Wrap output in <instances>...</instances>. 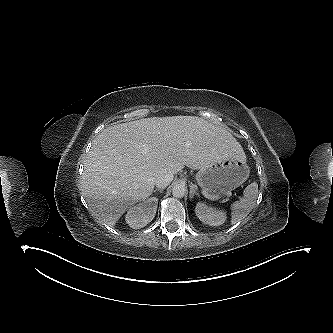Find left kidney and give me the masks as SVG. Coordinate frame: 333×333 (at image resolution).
Instances as JSON below:
<instances>
[{"mask_svg":"<svg viewBox=\"0 0 333 333\" xmlns=\"http://www.w3.org/2000/svg\"><path fill=\"white\" fill-rule=\"evenodd\" d=\"M195 213L201 222L210 226H220L227 218L224 211L208 207L201 202L196 204Z\"/></svg>","mask_w":333,"mask_h":333,"instance_id":"1","label":"left kidney"}]
</instances>
